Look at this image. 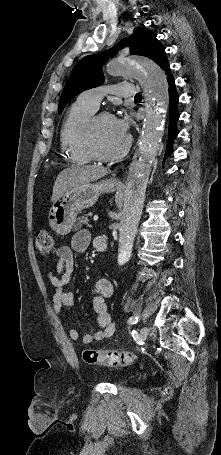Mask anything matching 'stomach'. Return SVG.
<instances>
[{
	"label": "stomach",
	"mask_w": 221,
	"mask_h": 455,
	"mask_svg": "<svg viewBox=\"0 0 221 455\" xmlns=\"http://www.w3.org/2000/svg\"><path fill=\"white\" fill-rule=\"evenodd\" d=\"M117 184L112 179L96 183L77 185L53 202L49 210V225L59 235H67L73 229L76 217L83 209L95 204L102 193L116 189Z\"/></svg>",
	"instance_id": "obj_1"
}]
</instances>
